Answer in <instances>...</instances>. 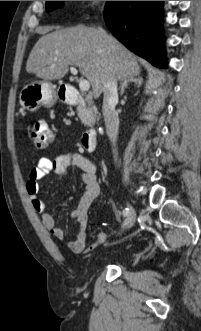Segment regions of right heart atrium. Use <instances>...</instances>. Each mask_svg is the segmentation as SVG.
Here are the masks:
<instances>
[{"mask_svg": "<svg viewBox=\"0 0 201 331\" xmlns=\"http://www.w3.org/2000/svg\"><path fill=\"white\" fill-rule=\"evenodd\" d=\"M93 5H97L99 1H90Z\"/></svg>", "mask_w": 201, "mask_h": 331, "instance_id": "1", "label": "right heart atrium"}]
</instances>
